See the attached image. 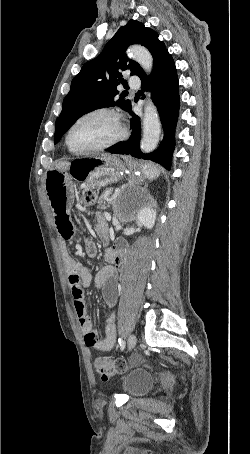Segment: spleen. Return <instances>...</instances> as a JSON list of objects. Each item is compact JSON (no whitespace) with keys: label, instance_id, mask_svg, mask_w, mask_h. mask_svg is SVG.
I'll use <instances>...</instances> for the list:
<instances>
[{"label":"spleen","instance_id":"obj_1","mask_svg":"<svg viewBox=\"0 0 250 454\" xmlns=\"http://www.w3.org/2000/svg\"><path fill=\"white\" fill-rule=\"evenodd\" d=\"M142 170H143V174L149 179L156 178L160 173V168L151 163H147V164L143 165Z\"/></svg>","mask_w":250,"mask_h":454}]
</instances>
